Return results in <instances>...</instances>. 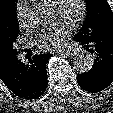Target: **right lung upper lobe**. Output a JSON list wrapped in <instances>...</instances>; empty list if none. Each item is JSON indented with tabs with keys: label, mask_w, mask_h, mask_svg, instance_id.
Segmentation results:
<instances>
[{
	"label": "right lung upper lobe",
	"mask_w": 113,
	"mask_h": 113,
	"mask_svg": "<svg viewBox=\"0 0 113 113\" xmlns=\"http://www.w3.org/2000/svg\"><path fill=\"white\" fill-rule=\"evenodd\" d=\"M17 0H0V78H4L7 69L13 62V58L8 54L5 45L8 25L11 16L15 12V2Z\"/></svg>",
	"instance_id": "obj_1"
}]
</instances>
